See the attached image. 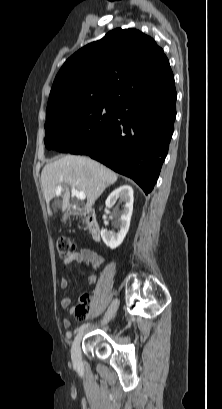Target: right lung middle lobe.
<instances>
[{"label": "right lung middle lobe", "mask_w": 222, "mask_h": 409, "mask_svg": "<svg viewBox=\"0 0 222 409\" xmlns=\"http://www.w3.org/2000/svg\"><path fill=\"white\" fill-rule=\"evenodd\" d=\"M118 105L116 102L72 104L46 113L45 146L72 154L99 149Z\"/></svg>", "instance_id": "1"}]
</instances>
